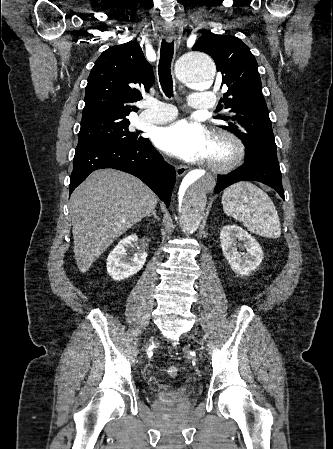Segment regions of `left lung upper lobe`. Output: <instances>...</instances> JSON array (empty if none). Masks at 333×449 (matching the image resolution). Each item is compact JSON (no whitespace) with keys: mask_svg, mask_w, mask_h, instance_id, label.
<instances>
[{"mask_svg":"<svg viewBox=\"0 0 333 449\" xmlns=\"http://www.w3.org/2000/svg\"><path fill=\"white\" fill-rule=\"evenodd\" d=\"M192 50L210 55L217 71L222 74L221 88H228L223 95V102L230 114L215 118L225 121L228 126L223 128L243 142L246 148L245 160L278 163L258 64L249 47L237 37L205 31Z\"/></svg>","mask_w":333,"mask_h":449,"instance_id":"left-lung-upper-lobe-1","label":"left lung upper lobe"}]
</instances>
